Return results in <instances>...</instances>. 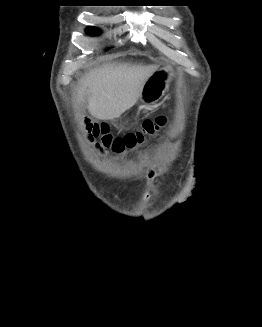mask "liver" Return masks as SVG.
<instances>
[{"label":"liver","instance_id":"1","mask_svg":"<svg viewBox=\"0 0 262 327\" xmlns=\"http://www.w3.org/2000/svg\"><path fill=\"white\" fill-rule=\"evenodd\" d=\"M157 65L108 63L90 70L80 81L78 99L87 102V109L98 120L120 117L135 105L147 79Z\"/></svg>","mask_w":262,"mask_h":327}]
</instances>
